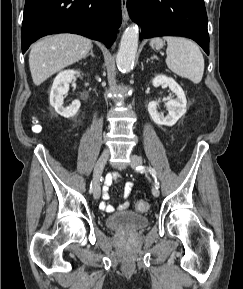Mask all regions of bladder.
Here are the masks:
<instances>
[{
	"label": "bladder",
	"mask_w": 243,
	"mask_h": 289,
	"mask_svg": "<svg viewBox=\"0 0 243 289\" xmlns=\"http://www.w3.org/2000/svg\"><path fill=\"white\" fill-rule=\"evenodd\" d=\"M106 224L113 230L135 231L147 227L149 219L133 211H121L109 216Z\"/></svg>",
	"instance_id": "obj_1"
}]
</instances>
